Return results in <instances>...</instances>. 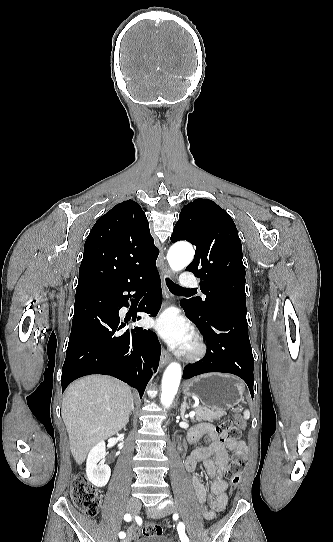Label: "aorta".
I'll return each instance as SVG.
<instances>
[{"label":"aorta","instance_id":"obj_1","mask_svg":"<svg viewBox=\"0 0 333 542\" xmlns=\"http://www.w3.org/2000/svg\"><path fill=\"white\" fill-rule=\"evenodd\" d=\"M194 256V250L190 244L187 242H178L171 246L168 254L167 260L171 270L174 272H179L183 270L185 266L190 264ZM182 378V368L177 362H172L166 368L163 378H162V394H161V404L164 408H170L179 388L180 380Z\"/></svg>","mask_w":333,"mask_h":542}]
</instances>
